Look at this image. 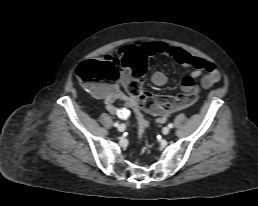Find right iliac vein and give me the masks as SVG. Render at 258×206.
<instances>
[{"label": "right iliac vein", "mask_w": 258, "mask_h": 206, "mask_svg": "<svg viewBox=\"0 0 258 206\" xmlns=\"http://www.w3.org/2000/svg\"><path fill=\"white\" fill-rule=\"evenodd\" d=\"M125 130V125L124 124H120L119 126H118V131L119 132H123Z\"/></svg>", "instance_id": "obj_1"}]
</instances>
